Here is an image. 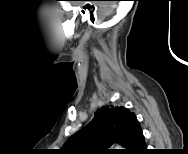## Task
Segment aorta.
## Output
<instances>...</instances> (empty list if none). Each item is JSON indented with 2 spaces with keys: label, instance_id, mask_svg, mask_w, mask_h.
I'll return each instance as SVG.
<instances>
[{
  "label": "aorta",
  "instance_id": "obj_1",
  "mask_svg": "<svg viewBox=\"0 0 188 154\" xmlns=\"http://www.w3.org/2000/svg\"><path fill=\"white\" fill-rule=\"evenodd\" d=\"M115 147H116L117 149H119L120 146H119V145H115Z\"/></svg>",
  "mask_w": 188,
  "mask_h": 154
}]
</instances>
